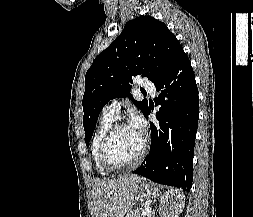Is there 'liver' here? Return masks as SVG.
Segmentation results:
<instances>
[{
  "label": "liver",
  "instance_id": "1",
  "mask_svg": "<svg viewBox=\"0 0 253 217\" xmlns=\"http://www.w3.org/2000/svg\"><path fill=\"white\" fill-rule=\"evenodd\" d=\"M144 180L137 175L97 180L91 202L95 217H122L134 200L136 186Z\"/></svg>",
  "mask_w": 253,
  "mask_h": 217
}]
</instances>
